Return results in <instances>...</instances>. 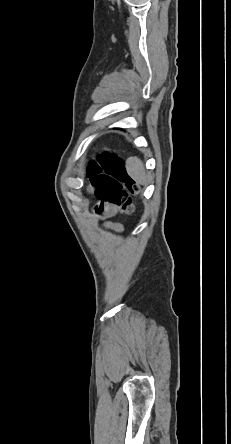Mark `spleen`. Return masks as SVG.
Returning a JSON list of instances; mask_svg holds the SVG:
<instances>
[{
	"instance_id": "obj_1",
	"label": "spleen",
	"mask_w": 231,
	"mask_h": 444,
	"mask_svg": "<svg viewBox=\"0 0 231 444\" xmlns=\"http://www.w3.org/2000/svg\"><path fill=\"white\" fill-rule=\"evenodd\" d=\"M126 170L128 175L138 184L146 183L148 176L142 161L138 157H130L127 159Z\"/></svg>"
}]
</instances>
